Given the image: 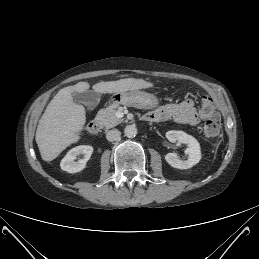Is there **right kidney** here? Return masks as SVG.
I'll use <instances>...</instances> for the list:
<instances>
[{
    "label": "right kidney",
    "instance_id": "1",
    "mask_svg": "<svg viewBox=\"0 0 259 259\" xmlns=\"http://www.w3.org/2000/svg\"><path fill=\"white\" fill-rule=\"evenodd\" d=\"M92 153L93 147L90 145L76 146L67 152L65 157L61 160L60 167L68 173L80 172L86 167V163ZM79 155H83V158L75 161Z\"/></svg>",
    "mask_w": 259,
    "mask_h": 259
}]
</instances>
